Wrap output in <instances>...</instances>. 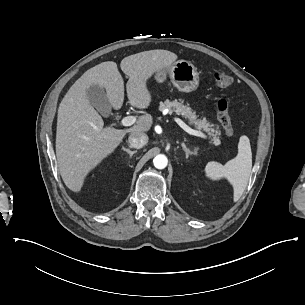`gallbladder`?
<instances>
[{
  "label": "gallbladder",
  "mask_w": 305,
  "mask_h": 305,
  "mask_svg": "<svg viewBox=\"0 0 305 305\" xmlns=\"http://www.w3.org/2000/svg\"><path fill=\"white\" fill-rule=\"evenodd\" d=\"M87 97L89 98L91 105H93L102 115L107 116L109 114L111 104L102 88L92 86L87 91Z\"/></svg>",
  "instance_id": "obj_1"
}]
</instances>
